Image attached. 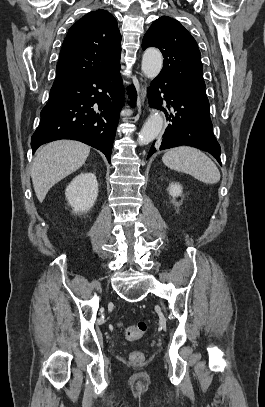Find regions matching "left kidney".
Returning <instances> with one entry per match:
<instances>
[{
    "label": "left kidney",
    "instance_id": "5707ae66",
    "mask_svg": "<svg viewBox=\"0 0 265 407\" xmlns=\"http://www.w3.org/2000/svg\"><path fill=\"white\" fill-rule=\"evenodd\" d=\"M169 194L175 198L181 195L182 186L179 183H172L168 188Z\"/></svg>",
    "mask_w": 265,
    "mask_h": 407
}]
</instances>
